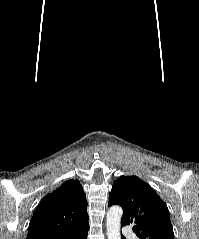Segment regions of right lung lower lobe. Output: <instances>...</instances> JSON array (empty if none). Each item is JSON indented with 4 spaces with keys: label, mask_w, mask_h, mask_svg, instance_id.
Segmentation results:
<instances>
[{
    "label": "right lung lower lobe",
    "mask_w": 199,
    "mask_h": 239,
    "mask_svg": "<svg viewBox=\"0 0 199 239\" xmlns=\"http://www.w3.org/2000/svg\"><path fill=\"white\" fill-rule=\"evenodd\" d=\"M88 230H89V224H86L69 234H66L60 237H54L51 239H87Z\"/></svg>",
    "instance_id": "right-lung-lower-lobe-1"
}]
</instances>
